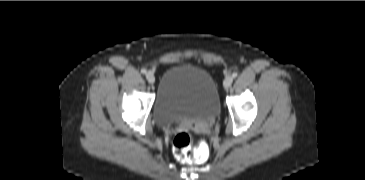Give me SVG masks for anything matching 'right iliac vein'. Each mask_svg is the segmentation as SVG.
Listing matches in <instances>:
<instances>
[{
	"mask_svg": "<svg viewBox=\"0 0 365 180\" xmlns=\"http://www.w3.org/2000/svg\"><path fill=\"white\" fill-rule=\"evenodd\" d=\"M146 79L151 84H153L155 82V76L152 72H147L146 73Z\"/></svg>",
	"mask_w": 365,
	"mask_h": 180,
	"instance_id": "obj_1",
	"label": "right iliac vein"
}]
</instances>
